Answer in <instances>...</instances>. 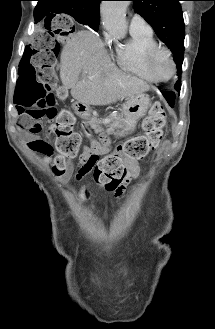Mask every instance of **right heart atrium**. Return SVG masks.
<instances>
[{
    "instance_id": "obj_1",
    "label": "right heart atrium",
    "mask_w": 215,
    "mask_h": 329,
    "mask_svg": "<svg viewBox=\"0 0 215 329\" xmlns=\"http://www.w3.org/2000/svg\"><path fill=\"white\" fill-rule=\"evenodd\" d=\"M106 36V39H108V35H105Z\"/></svg>"
}]
</instances>
